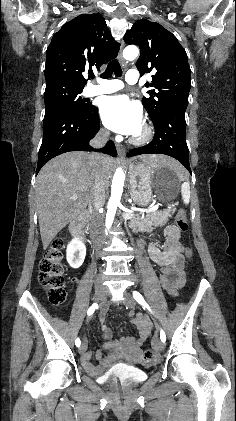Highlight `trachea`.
Listing matches in <instances>:
<instances>
[{
  "instance_id": "3493384b",
  "label": "trachea",
  "mask_w": 236,
  "mask_h": 421,
  "mask_svg": "<svg viewBox=\"0 0 236 421\" xmlns=\"http://www.w3.org/2000/svg\"><path fill=\"white\" fill-rule=\"evenodd\" d=\"M113 73H115L117 77L122 76L121 65L117 59H113L112 61L109 62L105 72L101 74V77L110 78ZM90 78H94V75H92Z\"/></svg>"
}]
</instances>
